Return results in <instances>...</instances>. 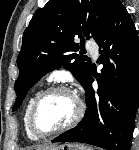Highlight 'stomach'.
<instances>
[{
  "mask_svg": "<svg viewBox=\"0 0 139 150\" xmlns=\"http://www.w3.org/2000/svg\"><path fill=\"white\" fill-rule=\"evenodd\" d=\"M38 150H91L90 148L79 144H64L59 147L40 148Z\"/></svg>",
  "mask_w": 139,
  "mask_h": 150,
  "instance_id": "obj_1",
  "label": "stomach"
}]
</instances>
